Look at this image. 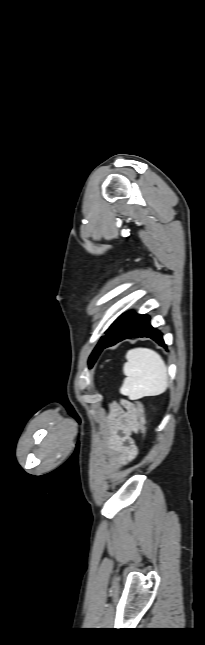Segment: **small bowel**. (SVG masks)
I'll list each match as a JSON object with an SVG mask.
<instances>
[{"label":"small bowel","instance_id":"obj_1","mask_svg":"<svg viewBox=\"0 0 205 645\" xmlns=\"http://www.w3.org/2000/svg\"><path fill=\"white\" fill-rule=\"evenodd\" d=\"M137 429L134 404L126 399L113 403L104 440L110 466L120 468L135 458L137 447L132 435Z\"/></svg>","mask_w":205,"mask_h":645}]
</instances>
